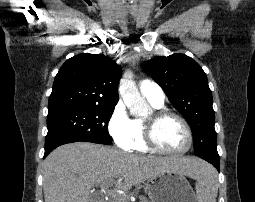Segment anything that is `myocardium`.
Wrapping results in <instances>:
<instances>
[{"mask_svg":"<svg viewBox=\"0 0 255 202\" xmlns=\"http://www.w3.org/2000/svg\"><path fill=\"white\" fill-rule=\"evenodd\" d=\"M166 118H175L177 119L184 127L186 134H187V144L186 146L179 150V151H168L159 146L156 140L155 131L157 125L163 121ZM143 127H144V141L149 148V150L163 155H169V156H180L185 153H187L193 144V133L191 130V127L187 120L182 117L181 115L165 110V109H157L154 110L144 121H143Z\"/></svg>","mask_w":255,"mask_h":202,"instance_id":"obj_1","label":"myocardium"}]
</instances>
